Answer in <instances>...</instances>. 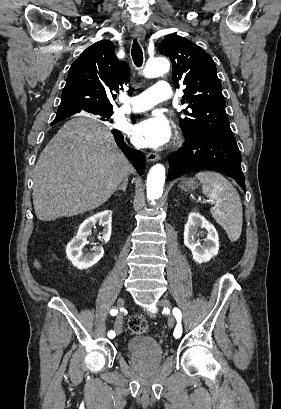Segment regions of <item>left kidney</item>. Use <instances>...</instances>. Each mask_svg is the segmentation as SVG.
<instances>
[{
	"instance_id": "1",
	"label": "left kidney",
	"mask_w": 281,
	"mask_h": 409,
	"mask_svg": "<svg viewBox=\"0 0 281 409\" xmlns=\"http://www.w3.org/2000/svg\"><path fill=\"white\" fill-rule=\"evenodd\" d=\"M206 229L204 243H200L198 229ZM184 245L190 249L196 263H207L212 257L218 255L219 237L218 233L205 217H202L196 209L188 215V221L184 227Z\"/></svg>"
}]
</instances>
